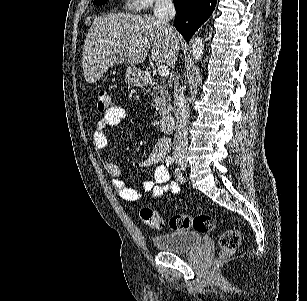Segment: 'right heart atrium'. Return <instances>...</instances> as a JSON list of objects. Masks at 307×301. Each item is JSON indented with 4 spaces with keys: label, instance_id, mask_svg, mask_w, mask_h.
<instances>
[{
    "label": "right heart atrium",
    "instance_id": "d8ad5b80",
    "mask_svg": "<svg viewBox=\"0 0 307 301\" xmlns=\"http://www.w3.org/2000/svg\"><path fill=\"white\" fill-rule=\"evenodd\" d=\"M133 4H138V11H145L146 7H157V0H133Z\"/></svg>",
    "mask_w": 307,
    "mask_h": 301
}]
</instances>
